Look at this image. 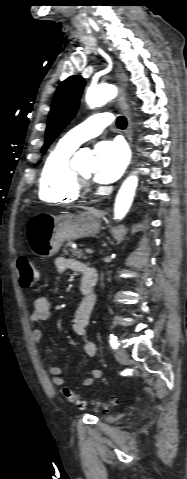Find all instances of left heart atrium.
<instances>
[{
	"label": "left heart atrium",
	"mask_w": 187,
	"mask_h": 479,
	"mask_svg": "<svg viewBox=\"0 0 187 479\" xmlns=\"http://www.w3.org/2000/svg\"><path fill=\"white\" fill-rule=\"evenodd\" d=\"M98 170L94 179L99 183H111L123 173L128 157L125 147L118 141H101L94 149Z\"/></svg>",
	"instance_id": "left-heart-atrium-1"
}]
</instances>
